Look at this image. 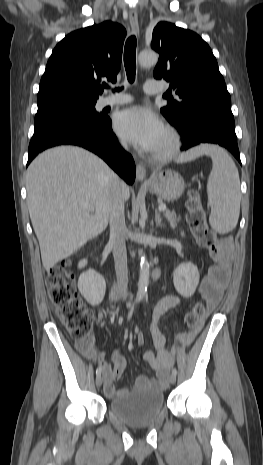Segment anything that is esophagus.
Masks as SVG:
<instances>
[{"label": "esophagus", "instance_id": "obj_1", "mask_svg": "<svg viewBox=\"0 0 263 465\" xmlns=\"http://www.w3.org/2000/svg\"><path fill=\"white\" fill-rule=\"evenodd\" d=\"M130 26L135 34L139 32L138 16L136 14H130L129 16ZM136 179L140 182L146 180V169L141 163H137L136 166Z\"/></svg>", "mask_w": 263, "mask_h": 465}]
</instances>
